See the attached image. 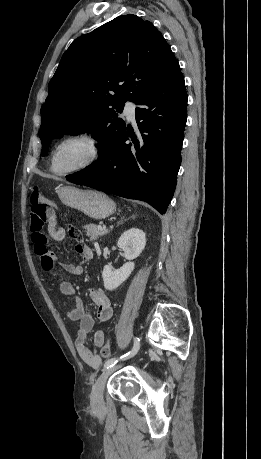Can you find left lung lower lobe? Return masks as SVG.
I'll return each instance as SVG.
<instances>
[{
    "mask_svg": "<svg viewBox=\"0 0 261 459\" xmlns=\"http://www.w3.org/2000/svg\"><path fill=\"white\" fill-rule=\"evenodd\" d=\"M138 132L128 128L98 163L68 181L149 203L164 214L177 182L186 125L187 94L176 61L136 102ZM128 139L132 143L126 144Z\"/></svg>",
    "mask_w": 261,
    "mask_h": 459,
    "instance_id": "1",
    "label": "left lung lower lobe"
}]
</instances>
